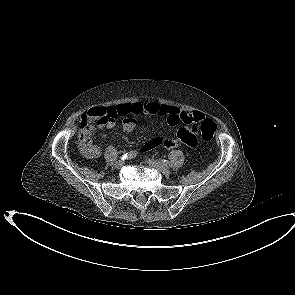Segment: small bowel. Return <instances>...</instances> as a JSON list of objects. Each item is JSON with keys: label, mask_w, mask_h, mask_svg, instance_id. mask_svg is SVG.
Listing matches in <instances>:
<instances>
[{"label": "small bowel", "mask_w": 295, "mask_h": 295, "mask_svg": "<svg viewBox=\"0 0 295 295\" xmlns=\"http://www.w3.org/2000/svg\"><path fill=\"white\" fill-rule=\"evenodd\" d=\"M102 108L107 109L108 118L90 127L91 132L95 127L99 129L112 128L115 125V118L117 116L124 117L122 128L123 131L127 133L132 132L136 127L137 121L135 115L138 114L147 116H160L165 120L166 124L171 127H175L180 124L191 125L203 119V114L199 111L191 112L180 110L177 107L162 104L156 101L147 103H123L116 106ZM194 132L195 131L188 128H180L176 135L171 138L152 136L149 138L148 143L142 147V151L147 152L151 149H157L160 146L172 149L178 147L181 144L194 147L197 142ZM82 151L88 158H97L100 156L99 147L93 144H89L88 149L86 151Z\"/></svg>", "instance_id": "1"}]
</instances>
